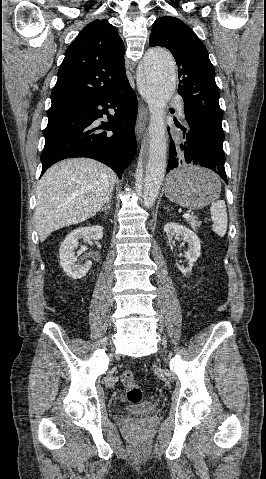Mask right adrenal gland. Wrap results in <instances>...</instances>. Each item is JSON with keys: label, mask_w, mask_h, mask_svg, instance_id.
Returning <instances> with one entry per match:
<instances>
[{"label": "right adrenal gland", "mask_w": 266, "mask_h": 479, "mask_svg": "<svg viewBox=\"0 0 266 479\" xmlns=\"http://www.w3.org/2000/svg\"><path fill=\"white\" fill-rule=\"evenodd\" d=\"M110 202H111V197L107 200L106 205L104 206V208L101 209L100 212L104 211L106 214H108V210L110 209V206H111Z\"/></svg>", "instance_id": "right-adrenal-gland-1"}]
</instances>
